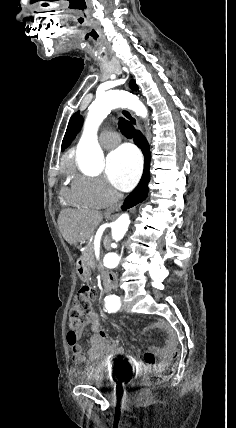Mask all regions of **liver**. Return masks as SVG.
<instances>
[{"instance_id":"liver-1","label":"liver","mask_w":236,"mask_h":428,"mask_svg":"<svg viewBox=\"0 0 236 428\" xmlns=\"http://www.w3.org/2000/svg\"><path fill=\"white\" fill-rule=\"evenodd\" d=\"M102 220L103 216L99 212H61L58 226L68 244H77L89 240Z\"/></svg>"}]
</instances>
